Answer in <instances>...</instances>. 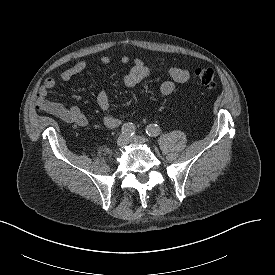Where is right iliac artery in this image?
<instances>
[{"mask_svg": "<svg viewBox=\"0 0 275 275\" xmlns=\"http://www.w3.org/2000/svg\"><path fill=\"white\" fill-rule=\"evenodd\" d=\"M122 134H126L127 136H133L135 134V126L132 123H125L122 126Z\"/></svg>", "mask_w": 275, "mask_h": 275, "instance_id": "82829eb1", "label": "right iliac artery"}]
</instances>
